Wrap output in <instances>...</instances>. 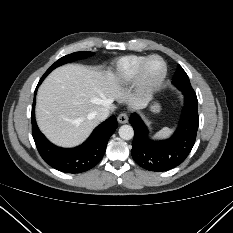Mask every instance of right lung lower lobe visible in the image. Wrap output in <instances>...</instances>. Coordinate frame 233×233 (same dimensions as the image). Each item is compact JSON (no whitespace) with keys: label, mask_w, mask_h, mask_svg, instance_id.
Masks as SVG:
<instances>
[{"label":"right lung lower lobe","mask_w":233,"mask_h":233,"mask_svg":"<svg viewBox=\"0 0 233 233\" xmlns=\"http://www.w3.org/2000/svg\"><path fill=\"white\" fill-rule=\"evenodd\" d=\"M44 78H41L37 87ZM32 106V135L43 160L51 167L65 173H81L96 166L102 159L108 140L115 132L118 124L115 116H111L92 132L82 145L75 148H61L53 145L40 132L35 120V96Z\"/></svg>","instance_id":"1"}]
</instances>
